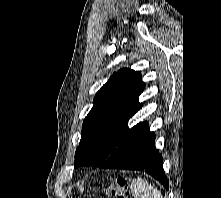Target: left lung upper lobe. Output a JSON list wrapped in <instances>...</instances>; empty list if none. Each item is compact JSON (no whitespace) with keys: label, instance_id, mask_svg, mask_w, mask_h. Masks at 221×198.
Returning a JSON list of instances; mask_svg holds the SVG:
<instances>
[{"label":"left lung upper lobe","instance_id":"1","mask_svg":"<svg viewBox=\"0 0 221 198\" xmlns=\"http://www.w3.org/2000/svg\"><path fill=\"white\" fill-rule=\"evenodd\" d=\"M145 88L141 75L122 69L97 92L94 106L84 119L74 166L100 167L107 158L146 122L132 128L129 120L143 106L139 96Z\"/></svg>","mask_w":221,"mask_h":198}]
</instances>
